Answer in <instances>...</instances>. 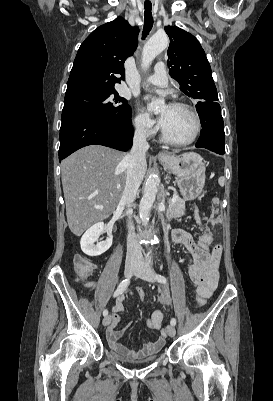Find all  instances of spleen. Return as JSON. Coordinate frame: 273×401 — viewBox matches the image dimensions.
Segmentation results:
<instances>
[{
  "instance_id": "spleen-1",
  "label": "spleen",
  "mask_w": 273,
  "mask_h": 401,
  "mask_svg": "<svg viewBox=\"0 0 273 401\" xmlns=\"http://www.w3.org/2000/svg\"><path fill=\"white\" fill-rule=\"evenodd\" d=\"M218 182H219L220 186H224V182H225L224 176H220V178H218Z\"/></svg>"
}]
</instances>
